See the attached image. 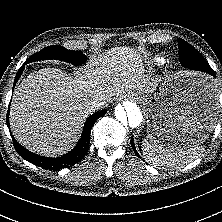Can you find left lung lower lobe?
<instances>
[{"mask_svg": "<svg viewBox=\"0 0 222 222\" xmlns=\"http://www.w3.org/2000/svg\"><path fill=\"white\" fill-rule=\"evenodd\" d=\"M184 67L190 68V69H193V70L201 71L200 66H197V65H195V64H192V63L189 62V61H186V63H184ZM202 72H203V71H202ZM206 73H208V74H210V75H212V76L215 77V74H214V71H213V70H208V71H206ZM131 146H132L133 151L135 152V154H136L137 156H139L138 153H137V151H136V149H135V146H134L133 137L131 138Z\"/></svg>", "mask_w": 222, "mask_h": 222, "instance_id": "1", "label": "left lung lower lobe"}]
</instances>
